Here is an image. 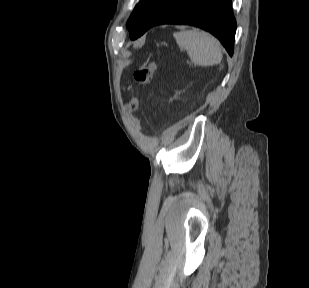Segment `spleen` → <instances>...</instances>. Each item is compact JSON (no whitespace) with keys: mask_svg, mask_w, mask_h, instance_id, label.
I'll list each match as a JSON object with an SVG mask.
<instances>
[{"mask_svg":"<svg viewBox=\"0 0 309 288\" xmlns=\"http://www.w3.org/2000/svg\"><path fill=\"white\" fill-rule=\"evenodd\" d=\"M174 37L177 44L187 51L194 65L208 67L221 62L220 43L209 33L198 29L184 30L176 33Z\"/></svg>","mask_w":309,"mask_h":288,"instance_id":"3e777b00","label":"spleen"}]
</instances>
